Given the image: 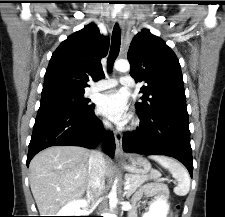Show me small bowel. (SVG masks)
<instances>
[{"label":"small bowel","instance_id":"c3829d8e","mask_svg":"<svg viewBox=\"0 0 225 217\" xmlns=\"http://www.w3.org/2000/svg\"><path fill=\"white\" fill-rule=\"evenodd\" d=\"M165 193V187L161 183H148L142 186L140 189L136 191L133 195L132 203L134 205L143 202V200L147 197H155L159 199ZM129 217H136L135 211H131Z\"/></svg>","mask_w":225,"mask_h":217}]
</instances>
